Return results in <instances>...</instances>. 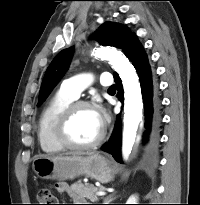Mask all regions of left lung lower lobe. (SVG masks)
<instances>
[{
    "label": "left lung lower lobe",
    "mask_w": 200,
    "mask_h": 205,
    "mask_svg": "<svg viewBox=\"0 0 200 205\" xmlns=\"http://www.w3.org/2000/svg\"><path fill=\"white\" fill-rule=\"evenodd\" d=\"M125 55L130 59L139 76L142 96L144 100L146 131L144 133V156L148 164H155L158 154L159 145V127L161 123L160 116V100L158 96V88L153 80L151 68L148 62L147 55L139 43L136 35L129 41ZM114 80L117 83V97L123 101L122 83L114 73ZM103 151L109 152L116 161L121 162V121L118 115L112 136L109 141L103 145Z\"/></svg>",
    "instance_id": "obj_1"
}]
</instances>
